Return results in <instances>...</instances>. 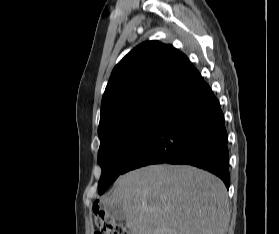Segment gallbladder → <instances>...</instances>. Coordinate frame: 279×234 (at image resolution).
<instances>
[{
  "instance_id": "bac80fb5",
  "label": "gallbladder",
  "mask_w": 279,
  "mask_h": 234,
  "mask_svg": "<svg viewBox=\"0 0 279 234\" xmlns=\"http://www.w3.org/2000/svg\"><path fill=\"white\" fill-rule=\"evenodd\" d=\"M105 209L107 214L110 216V218L118 221L125 220V213L121 205L119 204L107 205L105 206Z\"/></svg>"
}]
</instances>
